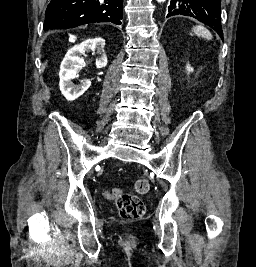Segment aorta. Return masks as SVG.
<instances>
[{
  "mask_svg": "<svg viewBox=\"0 0 256 267\" xmlns=\"http://www.w3.org/2000/svg\"><path fill=\"white\" fill-rule=\"evenodd\" d=\"M156 2H159V4H161V2H166V0H156Z\"/></svg>",
  "mask_w": 256,
  "mask_h": 267,
  "instance_id": "aorta-1",
  "label": "aorta"
}]
</instances>
